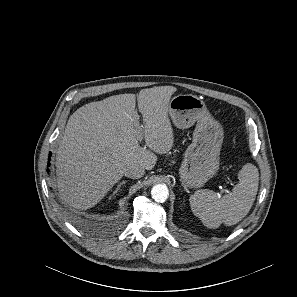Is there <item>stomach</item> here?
Here are the masks:
<instances>
[{
    "label": "stomach",
    "mask_w": 297,
    "mask_h": 297,
    "mask_svg": "<svg viewBox=\"0 0 297 297\" xmlns=\"http://www.w3.org/2000/svg\"><path fill=\"white\" fill-rule=\"evenodd\" d=\"M168 113L177 128H189L196 123L193 140L185 151L179 175L184 187L200 188L219 168L223 128L196 95L179 94L173 97Z\"/></svg>",
    "instance_id": "0dacf381"
}]
</instances>
